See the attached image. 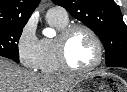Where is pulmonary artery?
<instances>
[{"mask_svg":"<svg viewBox=\"0 0 127 92\" xmlns=\"http://www.w3.org/2000/svg\"><path fill=\"white\" fill-rule=\"evenodd\" d=\"M47 14L56 15L62 18L68 17L66 11L61 7H51L48 9Z\"/></svg>","mask_w":127,"mask_h":92,"instance_id":"pulmonary-artery-1","label":"pulmonary artery"}]
</instances>
